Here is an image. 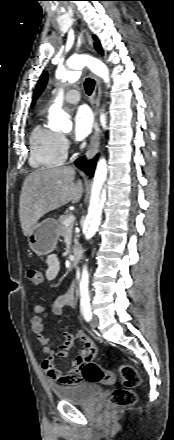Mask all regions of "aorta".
Wrapping results in <instances>:
<instances>
[{
  "label": "aorta",
  "instance_id": "obj_1",
  "mask_svg": "<svg viewBox=\"0 0 174 440\" xmlns=\"http://www.w3.org/2000/svg\"><path fill=\"white\" fill-rule=\"evenodd\" d=\"M81 67L82 64L79 60L69 62L66 67L62 69V82L66 80L75 81L78 79ZM62 104L63 90H60L54 104L49 109V128L51 130L67 132L72 129V123L69 119V115L62 110ZM100 119L102 126L105 127V115L102 114ZM105 180L106 166L105 161L102 159L96 169L88 215L83 227V233L86 239H91L95 235L101 223L102 211L106 201ZM81 288L84 290L88 288V272L86 267L82 274Z\"/></svg>",
  "mask_w": 174,
  "mask_h": 440
}]
</instances>
